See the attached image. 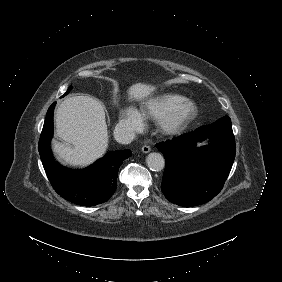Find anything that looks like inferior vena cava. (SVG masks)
<instances>
[{
  "label": "inferior vena cava",
  "mask_w": 282,
  "mask_h": 282,
  "mask_svg": "<svg viewBox=\"0 0 282 282\" xmlns=\"http://www.w3.org/2000/svg\"><path fill=\"white\" fill-rule=\"evenodd\" d=\"M114 138L118 143L129 144L134 138V133L128 125L119 123L115 126Z\"/></svg>",
  "instance_id": "inferior-vena-cava-1"
}]
</instances>
